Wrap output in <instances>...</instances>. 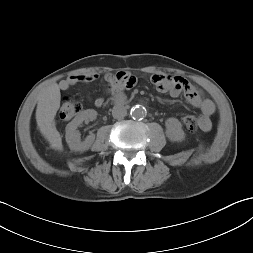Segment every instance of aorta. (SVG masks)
<instances>
[{
	"label": "aorta",
	"mask_w": 253,
	"mask_h": 253,
	"mask_svg": "<svg viewBox=\"0 0 253 253\" xmlns=\"http://www.w3.org/2000/svg\"><path fill=\"white\" fill-rule=\"evenodd\" d=\"M130 114L134 119H142L146 115V110L141 105H136L131 108Z\"/></svg>",
	"instance_id": "aorta-1"
}]
</instances>
